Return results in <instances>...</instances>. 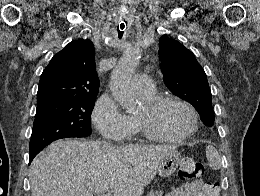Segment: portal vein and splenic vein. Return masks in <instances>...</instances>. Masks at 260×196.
Segmentation results:
<instances>
[{
	"label": "portal vein and splenic vein",
	"instance_id": "obj_1",
	"mask_svg": "<svg viewBox=\"0 0 260 196\" xmlns=\"http://www.w3.org/2000/svg\"><path fill=\"white\" fill-rule=\"evenodd\" d=\"M96 196H113L112 192H94Z\"/></svg>",
	"mask_w": 260,
	"mask_h": 196
}]
</instances>
